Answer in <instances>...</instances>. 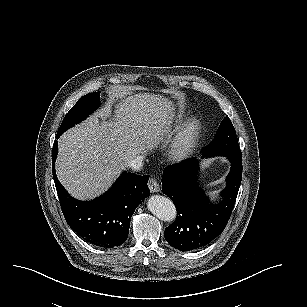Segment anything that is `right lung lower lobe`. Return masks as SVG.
<instances>
[{
    "instance_id": "right-lung-lower-lobe-1",
    "label": "right lung lower lobe",
    "mask_w": 307,
    "mask_h": 307,
    "mask_svg": "<svg viewBox=\"0 0 307 307\" xmlns=\"http://www.w3.org/2000/svg\"><path fill=\"white\" fill-rule=\"evenodd\" d=\"M59 137L56 136L57 139ZM57 154L58 143L55 141L52 149L53 178L68 225L93 246L114 248L123 244L128 238L132 214L140 201L150 195L147 186L149 176L123 172L99 198L90 202L79 201L71 197L57 179Z\"/></svg>"
}]
</instances>
